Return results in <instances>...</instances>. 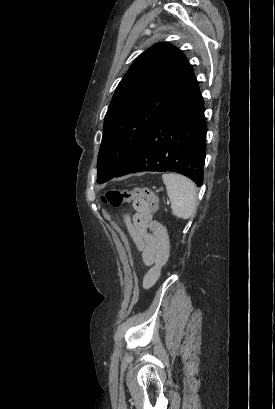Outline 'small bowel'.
Wrapping results in <instances>:
<instances>
[{"label": "small bowel", "instance_id": "1", "mask_svg": "<svg viewBox=\"0 0 275 409\" xmlns=\"http://www.w3.org/2000/svg\"><path fill=\"white\" fill-rule=\"evenodd\" d=\"M133 208L135 213L131 219L127 220V226L134 243L141 253L142 262L146 266L153 265L143 279L144 288H149L159 277L158 275L157 278L151 280V272L156 267L161 269L169 258L170 243L167 232L161 224L152 222V234L147 231L148 206L143 200L135 201Z\"/></svg>", "mask_w": 275, "mask_h": 409}]
</instances>
